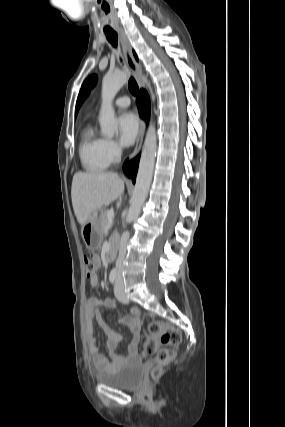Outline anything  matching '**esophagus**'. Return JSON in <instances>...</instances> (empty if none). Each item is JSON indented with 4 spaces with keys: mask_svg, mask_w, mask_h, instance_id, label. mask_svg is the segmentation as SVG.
<instances>
[{
    "mask_svg": "<svg viewBox=\"0 0 285 427\" xmlns=\"http://www.w3.org/2000/svg\"><path fill=\"white\" fill-rule=\"evenodd\" d=\"M118 34L120 37V41H121V45H122V50H123V54L125 57V60L127 62V65L129 66V68L131 69L134 77L137 80L138 85L140 86V88L144 87V84L141 80V76H142V69L141 66L136 62L134 55L132 53V48L130 46V43L126 37L125 32L123 31V29H118ZM144 130H145V123L143 120L140 121V127H139V132H138V136H137V140H136V145L134 148L133 153L130 156V159H133L134 157L137 156V154L139 153L140 149H141V145H142V141H143V135H144Z\"/></svg>",
    "mask_w": 285,
    "mask_h": 427,
    "instance_id": "esophagus-1",
    "label": "esophagus"
}]
</instances>
